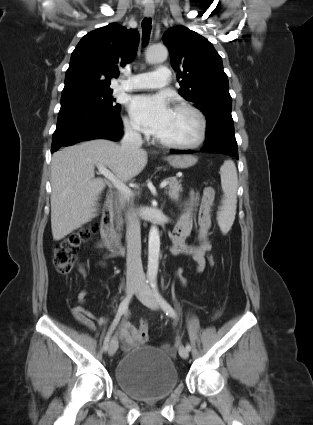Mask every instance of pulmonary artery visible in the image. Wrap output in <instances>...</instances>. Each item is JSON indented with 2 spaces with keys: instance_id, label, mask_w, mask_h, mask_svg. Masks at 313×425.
Listing matches in <instances>:
<instances>
[{
  "instance_id": "e3ab8cb5",
  "label": "pulmonary artery",
  "mask_w": 313,
  "mask_h": 425,
  "mask_svg": "<svg viewBox=\"0 0 313 425\" xmlns=\"http://www.w3.org/2000/svg\"><path fill=\"white\" fill-rule=\"evenodd\" d=\"M171 72L167 67H159L156 71L132 75L127 83L121 84L120 89H155L168 84Z\"/></svg>"
}]
</instances>
